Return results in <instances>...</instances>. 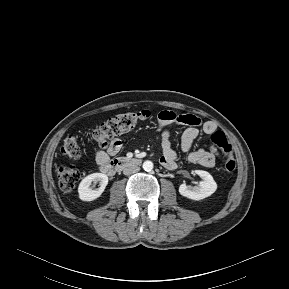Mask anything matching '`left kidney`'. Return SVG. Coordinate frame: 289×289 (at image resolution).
<instances>
[{
    "label": "left kidney",
    "mask_w": 289,
    "mask_h": 289,
    "mask_svg": "<svg viewBox=\"0 0 289 289\" xmlns=\"http://www.w3.org/2000/svg\"><path fill=\"white\" fill-rule=\"evenodd\" d=\"M195 173L202 178L200 184L190 186L183 183L179 187V193L184 197L198 201L211 196L216 191L217 184L207 171L195 170Z\"/></svg>",
    "instance_id": "1"
}]
</instances>
